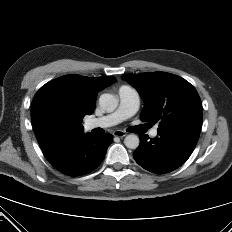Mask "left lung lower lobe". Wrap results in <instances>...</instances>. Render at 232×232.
Segmentation results:
<instances>
[{"instance_id":"left-lung-lower-lobe-1","label":"left lung lower lobe","mask_w":232,"mask_h":232,"mask_svg":"<svg viewBox=\"0 0 232 232\" xmlns=\"http://www.w3.org/2000/svg\"><path fill=\"white\" fill-rule=\"evenodd\" d=\"M200 136L195 127H174L160 130L149 139L141 134L140 145L133 153L135 161L144 169L164 174L180 167L193 152Z\"/></svg>"}]
</instances>
